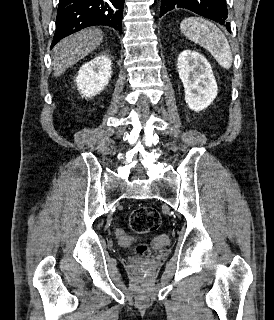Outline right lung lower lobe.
<instances>
[{
  "label": "right lung lower lobe",
  "mask_w": 274,
  "mask_h": 320,
  "mask_svg": "<svg viewBox=\"0 0 274 320\" xmlns=\"http://www.w3.org/2000/svg\"><path fill=\"white\" fill-rule=\"evenodd\" d=\"M125 0H60L53 47L62 38L94 25L112 26L122 33Z\"/></svg>",
  "instance_id": "98d812e1"
}]
</instances>
